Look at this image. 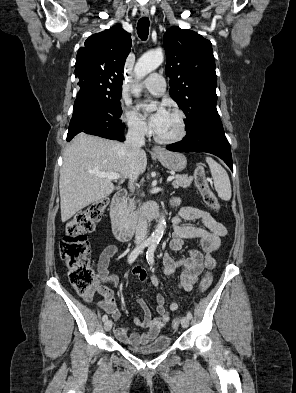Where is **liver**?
Wrapping results in <instances>:
<instances>
[{
	"label": "liver",
	"instance_id": "obj_1",
	"mask_svg": "<svg viewBox=\"0 0 296 393\" xmlns=\"http://www.w3.org/2000/svg\"><path fill=\"white\" fill-rule=\"evenodd\" d=\"M121 147L119 142L85 133L78 134L66 146L59 180L62 222L113 192L111 180L98 177L94 172L119 173V183L130 177V165ZM137 165L139 174L143 173L147 166L143 150L137 156Z\"/></svg>",
	"mask_w": 296,
	"mask_h": 393
}]
</instances>
